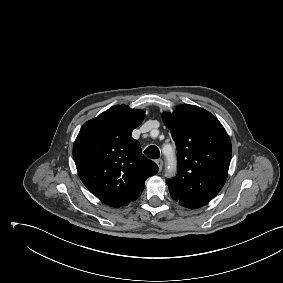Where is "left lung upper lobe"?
Returning <instances> with one entry per match:
<instances>
[{"label":"left lung upper lobe","mask_w":283,"mask_h":283,"mask_svg":"<svg viewBox=\"0 0 283 283\" xmlns=\"http://www.w3.org/2000/svg\"><path fill=\"white\" fill-rule=\"evenodd\" d=\"M178 149L177 176L167 179L170 195L179 205L198 209L222 189L232 156L229 136L210 112L183 104L163 114Z\"/></svg>","instance_id":"left-lung-upper-lobe-1"}]
</instances>
